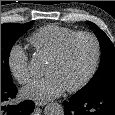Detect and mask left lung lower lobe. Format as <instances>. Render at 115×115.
Here are the masks:
<instances>
[{"instance_id":"0a47b994","label":"left lung lower lobe","mask_w":115,"mask_h":115,"mask_svg":"<svg viewBox=\"0 0 115 115\" xmlns=\"http://www.w3.org/2000/svg\"><path fill=\"white\" fill-rule=\"evenodd\" d=\"M65 115H115V90L85 97L71 96L64 102Z\"/></svg>"}]
</instances>
